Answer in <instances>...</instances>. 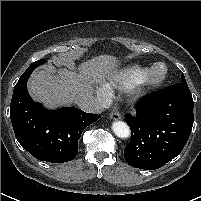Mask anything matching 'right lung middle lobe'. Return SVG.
I'll use <instances>...</instances> for the list:
<instances>
[{"instance_id": "1", "label": "right lung middle lobe", "mask_w": 201, "mask_h": 201, "mask_svg": "<svg viewBox=\"0 0 201 201\" xmlns=\"http://www.w3.org/2000/svg\"><path fill=\"white\" fill-rule=\"evenodd\" d=\"M45 62H46L45 59H40V60H38V61H36V62H33L30 66H35V67H37V66H39V65H41V64H43V63H45Z\"/></svg>"}]
</instances>
